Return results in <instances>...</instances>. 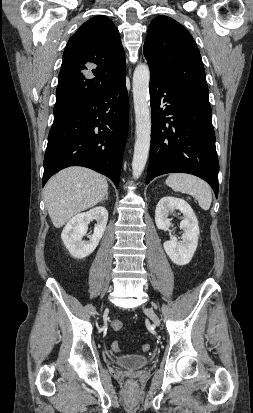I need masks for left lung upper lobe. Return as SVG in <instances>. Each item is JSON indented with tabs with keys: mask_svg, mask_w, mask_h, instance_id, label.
<instances>
[{
	"mask_svg": "<svg viewBox=\"0 0 253 413\" xmlns=\"http://www.w3.org/2000/svg\"><path fill=\"white\" fill-rule=\"evenodd\" d=\"M143 51L151 73L172 88L210 106L200 52L180 23L164 15L154 18Z\"/></svg>",
	"mask_w": 253,
	"mask_h": 413,
	"instance_id": "obj_1",
	"label": "left lung upper lobe"
}]
</instances>
